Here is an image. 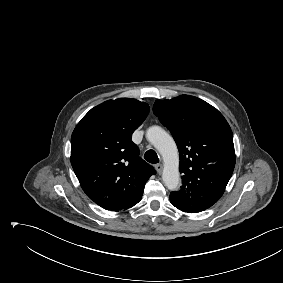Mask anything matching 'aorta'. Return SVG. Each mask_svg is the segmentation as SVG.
Listing matches in <instances>:
<instances>
[{
    "mask_svg": "<svg viewBox=\"0 0 283 283\" xmlns=\"http://www.w3.org/2000/svg\"><path fill=\"white\" fill-rule=\"evenodd\" d=\"M147 140L160 152L164 161L162 179L169 190L180 183L179 153L173 138L161 127L152 126L146 132Z\"/></svg>",
    "mask_w": 283,
    "mask_h": 283,
    "instance_id": "obj_1",
    "label": "aorta"
}]
</instances>
